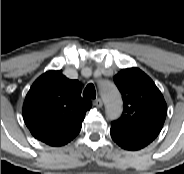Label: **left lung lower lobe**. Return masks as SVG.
<instances>
[{
  "mask_svg": "<svg viewBox=\"0 0 184 174\" xmlns=\"http://www.w3.org/2000/svg\"><path fill=\"white\" fill-rule=\"evenodd\" d=\"M111 137L112 139L123 149L127 150H139L147 146L153 140L150 138L133 135L120 128L111 125Z\"/></svg>",
  "mask_w": 184,
  "mask_h": 174,
  "instance_id": "1",
  "label": "left lung lower lobe"
}]
</instances>
